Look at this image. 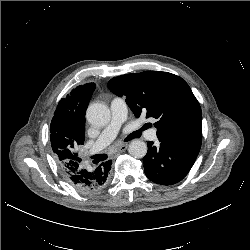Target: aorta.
<instances>
[{"mask_svg": "<svg viewBox=\"0 0 250 250\" xmlns=\"http://www.w3.org/2000/svg\"><path fill=\"white\" fill-rule=\"evenodd\" d=\"M86 118L92 126L102 127L110 121V110L102 103H93L87 108ZM128 152L134 158H143L147 153V144L139 139L133 140L129 144Z\"/></svg>", "mask_w": 250, "mask_h": 250, "instance_id": "1", "label": "aorta"}]
</instances>
